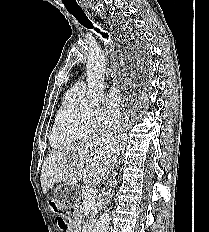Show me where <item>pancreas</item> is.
I'll return each instance as SVG.
<instances>
[{"instance_id":"pancreas-1","label":"pancreas","mask_w":209,"mask_h":232,"mask_svg":"<svg viewBox=\"0 0 209 232\" xmlns=\"http://www.w3.org/2000/svg\"><path fill=\"white\" fill-rule=\"evenodd\" d=\"M87 192H88V188H87V187H84L83 190H82V194H81V196H82V201H83V204L88 203V202L91 203V218H93L94 215H95V213H96V209H97V208H96V203H95V200L89 201V200L87 199Z\"/></svg>"}]
</instances>
